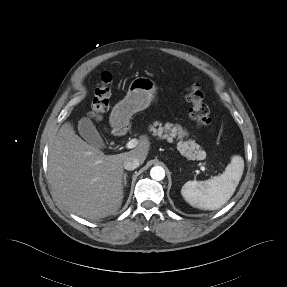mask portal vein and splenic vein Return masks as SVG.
I'll list each match as a JSON object with an SVG mask.
<instances>
[{
  "label": "portal vein and splenic vein",
  "instance_id": "portal-vein-and-splenic-vein-1",
  "mask_svg": "<svg viewBox=\"0 0 287 287\" xmlns=\"http://www.w3.org/2000/svg\"><path fill=\"white\" fill-rule=\"evenodd\" d=\"M138 140L137 139H131L130 141L127 142L126 144V148L127 149H132V148H135L137 145H138ZM200 170L205 172V171H209L205 166L203 165H200ZM216 172V171H215Z\"/></svg>",
  "mask_w": 287,
  "mask_h": 287
}]
</instances>
